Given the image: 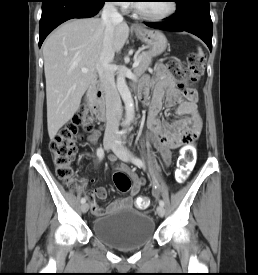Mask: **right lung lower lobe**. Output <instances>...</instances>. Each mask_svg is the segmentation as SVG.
<instances>
[{
	"instance_id": "98d812e1",
	"label": "right lung lower lobe",
	"mask_w": 258,
	"mask_h": 275,
	"mask_svg": "<svg viewBox=\"0 0 258 275\" xmlns=\"http://www.w3.org/2000/svg\"><path fill=\"white\" fill-rule=\"evenodd\" d=\"M105 0H42L39 24V47L47 35L61 23L73 18L96 15Z\"/></svg>"
}]
</instances>
